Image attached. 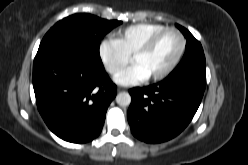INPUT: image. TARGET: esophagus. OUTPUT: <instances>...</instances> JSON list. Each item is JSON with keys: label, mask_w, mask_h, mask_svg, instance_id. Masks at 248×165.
Segmentation results:
<instances>
[{"label": "esophagus", "mask_w": 248, "mask_h": 165, "mask_svg": "<svg viewBox=\"0 0 248 165\" xmlns=\"http://www.w3.org/2000/svg\"><path fill=\"white\" fill-rule=\"evenodd\" d=\"M125 90H126V88H124V87H118V88H117V91H118V92H122V91H125Z\"/></svg>", "instance_id": "esophagus-1"}]
</instances>
